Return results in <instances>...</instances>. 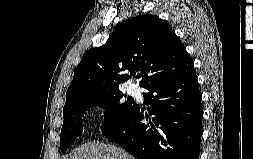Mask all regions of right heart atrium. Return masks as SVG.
Returning <instances> with one entry per match:
<instances>
[{
	"label": "right heart atrium",
	"instance_id": "obj_1",
	"mask_svg": "<svg viewBox=\"0 0 253 159\" xmlns=\"http://www.w3.org/2000/svg\"><path fill=\"white\" fill-rule=\"evenodd\" d=\"M107 107L103 104H98L95 108L96 116L101 120L103 119L107 114Z\"/></svg>",
	"mask_w": 253,
	"mask_h": 159
}]
</instances>
